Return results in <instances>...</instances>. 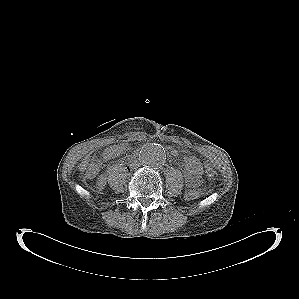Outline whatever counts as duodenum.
<instances>
[{"instance_id": "1", "label": "duodenum", "mask_w": 299, "mask_h": 299, "mask_svg": "<svg viewBox=\"0 0 299 299\" xmlns=\"http://www.w3.org/2000/svg\"><path fill=\"white\" fill-rule=\"evenodd\" d=\"M135 159H136V157H135V156H133V157L131 158V161H135Z\"/></svg>"}]
</instances>
